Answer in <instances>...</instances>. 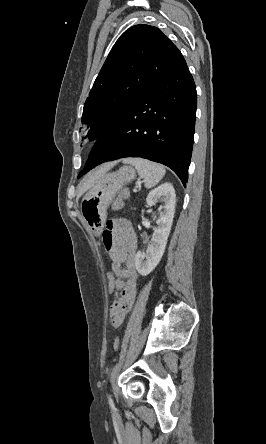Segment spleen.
<instances>
[{
  "label": "spleen",
  "mask_w": 266,
  "mask_h": 444,
  "mask_svg": "<svg viewBox=\"0 0 266 444\" xmlns=\"http://www.w3.org/2000/svg\"><path fill=\"white\" fill-rule=\"evenodd\" d=\"M125 164L133 165L141 178L145 181V187L150 189L157 185L165 175V168L161 164L151 162L143 158H126Z\"/></svg>",
  "instance_id": "1"
}]
</instances>
